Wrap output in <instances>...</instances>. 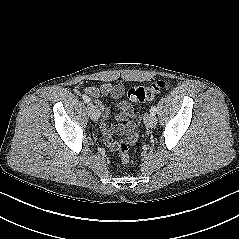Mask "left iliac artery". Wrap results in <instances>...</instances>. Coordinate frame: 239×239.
Here are the masks:
<instances>
[{
    "instance_id": "obj_1",
    "label": "left iliac artery",
    "mask_w": 239,
    "mask_h": 239,
    "mask_svg": "<svg viewBox=\"0 0 239 239\" xmlns=\"http://www.w3.org/2000/svg\"><path fill=\"white\" fill-rule=\"evenodd\" d=\"M150 112L154 113V114L156 113V106L155 105L151 106Z\"/></svg>"
}]
</instances>
